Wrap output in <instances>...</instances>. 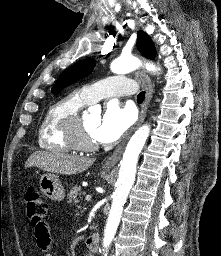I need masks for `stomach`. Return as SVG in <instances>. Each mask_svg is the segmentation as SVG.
Returning <instances> with one entry per match:
<instances>
[{"label":"stomach","instance_id":"stomach-1","mask_svg":"<svg viewBox=\"0 0 221 256\" xmlns=\"http://www.w3.org/2000/svg\"><path fill=\"white\" fill-rule=\"evenodd\" d=\"M39 184L42 193L46 197L55 201H61L64 199V187L57 175L51 173L44 174L41 176Z\"/></svg>","mask_w":221,"mask_h":256}]
</instances>
